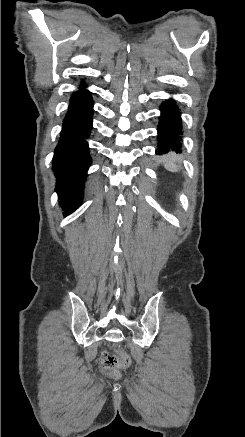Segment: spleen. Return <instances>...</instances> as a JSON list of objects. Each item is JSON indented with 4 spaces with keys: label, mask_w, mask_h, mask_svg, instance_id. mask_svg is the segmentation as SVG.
Returning <instances> with one entry per match:
<instances>
[{
    "label": "spleen",
    "mask_w": 245,
    "mask_h": 437,
    "mask_svg": "<svg viewBox=\"0 0 245 437\" xmlns=\"http://www.w3.org/2000/svg\"><path fill=\"white\" fill-rule=\"evenodd\" d=\"M164 166L167 170L172 172L178 171L181 168V166L177 164L175 157H166L164 159Z\"/></svg>",
    "instance_id": "1"
}]
</instances>
